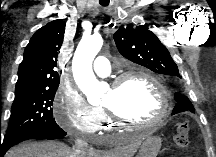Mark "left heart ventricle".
Here are the masks:
<instances>
[{
	"label": "left heart ventricle",
	"instance_id": "left-heart-ventricle-1",
	"mask_svg": "<svg viewBox=\"0 0 216 157\" xmlns=\"http://www.w3.org/2000/svg\"><path fill=\"white\" fill-rule=\"evenodd\" d=\"M103 105L120 115L137 121L155 118L161 108V97L154 85L146 79H128L118 91L108 90Z\"/></svg>",
	"mask_w": 216,
	"mask_h": 157
}]
</instances>
